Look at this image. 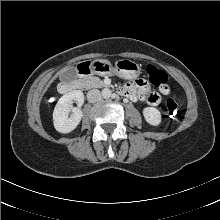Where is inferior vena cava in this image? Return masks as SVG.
Here are the masks:
<instances>
[{
  "label": "inferior vena cava",
  "instance_id": "1",
  "mask_svg": "<svg viewBox=\"0 0 220 220\" xmlns=\"http://www.w3.org/2000/svg\"><path fill=\"white\" fill-rule=\"evenodd\" d=\"M102 98L101 92L98 89H92L87 93V99L90 103L100 101Z\"/></svg>",
  "mask_w": 220,
  "mask_h": 220
}]
</instances>
